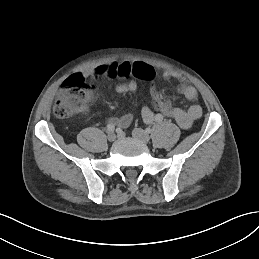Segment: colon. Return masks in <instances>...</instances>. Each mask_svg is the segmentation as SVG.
I'll list each match as a JSON object with an SVG mask.
<instances>
[{
	"label": "colon",
	"instance_id": "colon-1",
	"mask_svg": "<svg viewBox=\"0 0 259 259\" xmlns=\"http://www.w3.org/2000/svg\"><path fill=\"white\" fill-rule=\"evenodd\" d=\"M91 97L89 82L81 74H74L64 81L54 105V113L59 118H68L84 110Z\"/></svg>",
	"mask_w": 259,
	"mask_h": 259
}]
</instances>
